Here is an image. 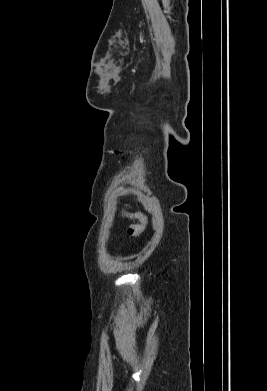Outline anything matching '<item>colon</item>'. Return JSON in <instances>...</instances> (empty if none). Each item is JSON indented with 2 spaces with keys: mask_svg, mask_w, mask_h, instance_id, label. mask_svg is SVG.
<instances>
[{
  "mask_svg": "<svg viewBox=\"0 0 267 391\" xmlns=\"http://www.w3.org/2000/svg\"><path fill=\"white\" fill-rule=\"evenodd\" d=\"M123 216L136 220L135 223L128 227V235L132 237L139 236L146 228L147 216L142 212L129 213L123 212Z\"/></svg>",
  "mask_w": 267,
  "mask_h": 391,
  "instance_id": "1",
  "label": "colon"
}]
</instances>
